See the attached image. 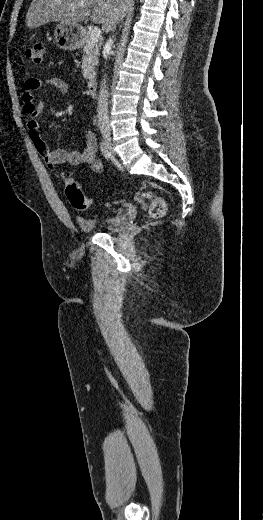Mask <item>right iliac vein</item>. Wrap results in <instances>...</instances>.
<instances>
[{
	"instance_id": "obj_1",
	"label": "right iliac vein",
	"mask_w": 263,
	"mask_h": 520,
	"mask_svg": "<svg viewBox=\"0 0 263 520\" xmlns=\"http://www.w3.org/2000/svg\"><path fill=\"white\" fill-rule=\"evenodd\" d=\"M102 137H103L104 143H105L106 147L108 148V150L110 151V153H113L110 132L103 130Z\"/></svg>"
}]
</instances>
